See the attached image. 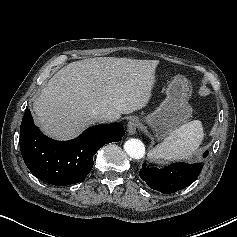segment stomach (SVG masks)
I'll return each mask as SVG.
<instances>
[{
  "label": "stomach",
  "instance_id": "0dacf381",
  "mask_svg": "<svg viewBox=\"0 0 237 237\" xmlns=\"http://www.w3.org/2000/svg\"><path fill=\"white\" fill-rule=\"evenodd\" d=\"M192 86L184 76H175L166 89V98L156 110L145 117L146 123L152 128L157 139L171 134L192 115V107L188 99Z\"/></svg>",
  "mask_w": 237,
  "mask_h": 237
}]
</instances>
